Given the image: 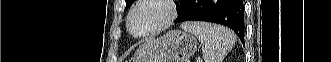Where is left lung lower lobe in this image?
<instances>
[{"label":"left lung lower lobe","mask_w":331,"mask_h":62,"mask_svg":"<svg viewBox=\"0 0 331 62\" xmlns=\"http://www.w3.org/2000/svg\"><path fill=\"white\" fill-rule=\"evenodd\" d=\"M207 21L231 28L244 42V5L242 0H187L176 23Z\"/></svg>","instance_id":"1"}]
</instances>
